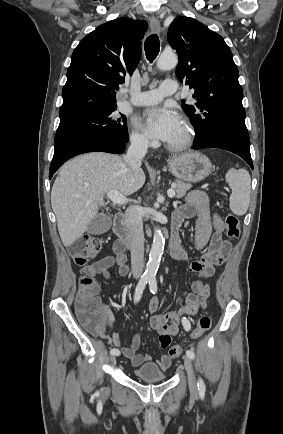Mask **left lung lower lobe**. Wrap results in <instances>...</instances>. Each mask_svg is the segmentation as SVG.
<instances>
[{"label":"left lung lower lobe","mask_w":283,"mask_h":434,"mask_svg":"<svg viewBox=\"0 0 283 434\" xmlns=\"http://www.w3.org/2000/svg\"><path fill=\"white\" fill-rule=\"evenodd\" d=\"M203 148H220V149H224L227 151H230L232 153L237 154L238 156H240L241 158H243L248 164L249 166L253 169V163H252V159H251V154H250V148L238 145V144H234V143H214V144H209V145H197L195 144L194 149H203Z\"/></svg>","instance_id":"0a47b994"}]
</instances>
